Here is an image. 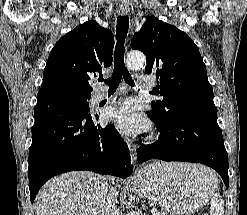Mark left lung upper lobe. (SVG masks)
I'll return each instance as SVG.
<instances>
[{
  "mask_svg": "<svg viewBox=\"0 0 247 215\" xmlns=\"http://www.w3.org/2000/svg\"><path fill=\"white\" fill-rule=\"evenodd\" d=\"M131 48L145 53V72L157 75V94L163 100L151 103L156 112L166 118L183 111L216 113L206 66L186 33L155 17H147L132 38Z\"/></svg>",
  "mask_w": 247,
  "mask_h": 215,
  "instance_id": "1",
  "label": "left lung upper lobe"
}]
</instances>
